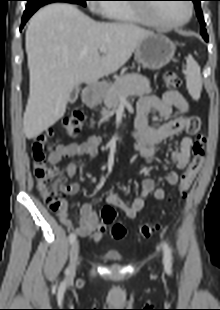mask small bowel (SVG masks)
Masks as SVG:
<instances>
[{"label": "small bowel", "instance_id": "1", "mask_svg": "<svg viewBox=\"0 0 220 310\" xmlns=\"http://www.w3.org/2000/svg\"><path fill=\"white\" fill-rule=\"evenodd\" d=\"M174 110L178 111V115L170 118ZM151 111H156L162 118L170 119L158 127H151L148 124V116ZM199 130V117L189 114V103L178 90H168L162 97L146 95L138 100L132 135L136 138V147L145 161L151 160L156 145L164 139L183 132L193 135L198 133ZM100 144L101 140L96 136H90L80 143L59 144L50 149L49 161L52 164H58L63 158L79 156H86L92 160L97 156ZM191 147V137L188 135L183 136L178 148L171 153V158L178 170L187 167L191 156ZM77 170L78 165L74 162L69 163L65 168L66 174L71 179L75 178ZM165 179L167 184L176 185L179 181V174L176 171H170ZM89 181L96 183L97 178L92 176ZM78 190V183L73 181L67 188V194L74 195ZM149 195H152L155 200H162L165 197V190L156 187L152 178L143 180L140 194L130 204H127L115 193H110L107 196V202L123 210L128 218L135 219L143 209L145 199ZM56 214L65 226L73 229L80 237H91L93 240L99 241L106 232V226L99 221L96 211L89 203L81 206V217L75 227L68 212V203L66 201Z\"/></svg>", "mask_w": 220, "mask_h": 310}]
</instances>
